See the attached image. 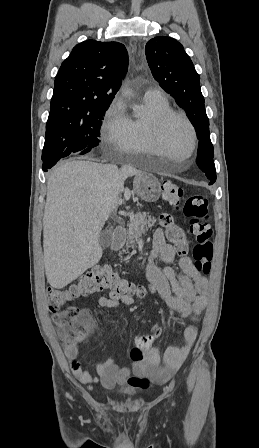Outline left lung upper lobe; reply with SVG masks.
<instances>
[{
  "mask_svg": "<svg viewBox=\"0 0 259 448\" xmlns=\"http://www.w3.org/2000/svg\"><path fill=\"white\" fill-rule=\"evenodd\" d=\"M145 53L155 80L175 98L195 127L199 139L197 160L214 156L200 76L182 44L173 38L159 36L147 42Z\"/></svg>",
  "mask_w": 259,
  "mask_h": 448,
  "instance_id": "1",
  "label": "left lung upper lobe"
}]
</instances>
